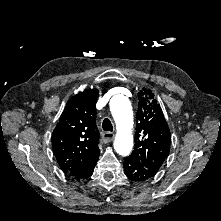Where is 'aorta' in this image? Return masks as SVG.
Instances as JSON below:
<instances>
[{
	"instance_id": "762f6f07",
	"label": "aorta",
	"mask_w": 221,
	"mask_h": 221,
	"mask_svg": "<svg viewBox=\"0 0 221 221\" xmlns=\"http://www.w3.org/2000/svg\"><path fill=\"white\" fill-rule=\"evenodd\" d=\"M110 110L115 120L117 134L114 148L120 155H129L133 147V112L129 99L124 95H115L110 101Z\"/></svg>"
}]
</instances>
